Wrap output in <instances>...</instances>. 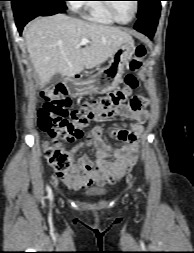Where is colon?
I'll list each match as a JSON object with an SVG mask.
<instances>
[{"label":"colon","instance_id":"1","mask_svg":"<svg viewBox=\"0 0 194 253\" xmlns=\"http://www.w3.org/2000/svg\"><path fill=\"white\" fill-rule=\"evenodd\" d=\"M146 53L147 48L144 44L136 46L129 62L131 73L126 76L122 88L91 103H83L72 111H69L71 100L63 85L50 87L41 92L44 106L39 111V126L49 137L44 146V155L57 172L67 171L72 166L71 155L62 146L63 144L82 139L84 129L90 123L129 104V97H132L139 85L134 73L142 67Z\"/></svg>","mask_w":194,"mask_h":253}]
</instances>
